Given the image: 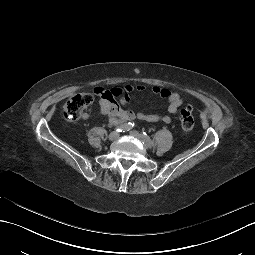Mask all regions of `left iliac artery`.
<instances>
[{"instance_id": "44dca946", "label": "left iliac artery", "mask_w": 255, "mask_h": 255, "mask_svg": "<svg viewBox=\"0 0 255 255\" xmlns=\"http://www.w3.org/2000/svg\"><path fill=\"white\" fill-rule=\"evenodd\" d=\"M142 138L145 144L147 145H153V141L150 139V137L146 134V132H143L142 134Z\"/></svg>"}]
</instances>
